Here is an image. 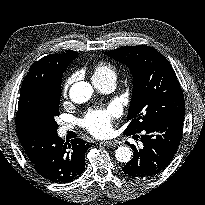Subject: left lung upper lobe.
Wrapping results in <instances>:
<instances>
[{"mask_svg":"<svg viewBox=\"0 0 205 205\" xmlns=\"http://www.w3.org/2000/svg\"><path fill=\"white\" fill-rule=\"evenodd\" d=\"M130 68L133 95L125 133L141 132L150 124L170 115L185 112L178 79L166 58L147 45L125 46L105 52Z\"/></svg>","mask_w":205,"mask_h":205,"instance_id":"left-lung-upper-lobe-1","label":"left lung upper lobe"}]
</instances>
